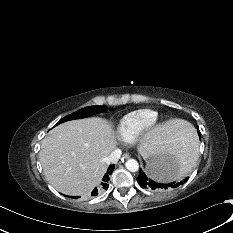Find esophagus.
<instances>
[{
    "mask_svg": "<svg viewBox=\"0 0 233 233\" xmlns=\"http://www.w3.org/2000/svg\"><path fill=\"white\" fill-rule=\"evenodd\" d=\"M130 157V155L128 154V153H125L124 155H123V158L124 159H128Z\"/></svg>",
    "mask_w": 233,
    "mask_h": 233,
    "instance_id": "obj_1",
    "label": "esophagus"
}]
</instances>
